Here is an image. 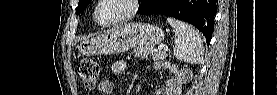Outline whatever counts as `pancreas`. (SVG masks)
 I'll return each instance as SVG.
<instances>
[{
    "label": "pancreas",
    "instance_id": "1",
    "mask_svg": "<svg viewBox=\"0 0 277 95\" xmlns=\"http://www.w3.org/2000/svg\"><path fill=\"white\" fill-rule=\"evenodd\" d=\"M133 53L136 57L140 58H147L148 56H152L154 60H164L167 57L165 51H156L154 52L153 46H145V47H138L133 50Z\"/></svg>",
    "mask_w": 277,
    "mask_h": 95
}]
</instances>
